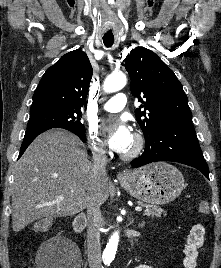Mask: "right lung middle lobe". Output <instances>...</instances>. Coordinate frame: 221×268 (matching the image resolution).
Segmentation results:
<instances>
[{
  "instance_id": "1",
  "label": "right lung middle lobe",
  "mask_w": 221,
  "mask_h": 268,
  "mask_svg": "<svg viewBox=\"0 0 221 268\" xmlns=\"http://www.w3.org/2000/svg\"><path fill=\"white\" fill-rule=\"evenodd\" d=\"M81 111H47L30 114L28 129L47 127L63 128L85 133V127L80 122Z\"/></svg>"
}]
</instances>
